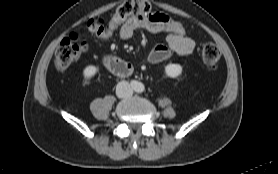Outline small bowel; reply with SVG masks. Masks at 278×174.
<instances>
[{"label":"small bowel","mask_w":278,"mask_h":174,"mask_svg":"<svg viewBox=\"0 0 278 174\" xmlns=\"http://www.w3.org/2000/svg\"><path fill=\"white\" fill-rule=\"evenodd\" d=\"M165 17L168 16L160 12L130 16L120 25L117 32L124 40L130 39L140 29L154 34H164L165 44H156L149 53L148 60L151 63L163 62L173 53L181 56L190 55L196 46L194 40L169 30L163 22Z\"/></svg>","instance_id":"1"}]
</instances>
